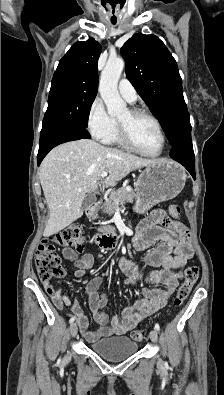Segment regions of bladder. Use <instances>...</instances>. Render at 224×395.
<instances>
[{
	"label": "bladder",
	"mask_w": 224,
	"mask_h": 395,
	"mask_svg": "<svg viewBox=\"0 0 224 395\" xmlns=\"http://www.w3.org/2000/svg\"><path fill=\"white\" fill-rule=\"evenodd\" d=\"M90 350L111 362L122 361L138 351V344L128 337H109L93 342Z\"/></svg>",
	"instance_id": "31cf9c89"
}]
</instances>
